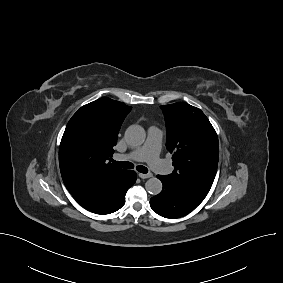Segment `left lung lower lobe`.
<instances>
[{
	"instance_id": "1",
	"label": "left lung lower lobe",
	"mask_w": 283,
	"mask_h": 283,
	"mask_svg": "<svg viewBox=\"0 0 283 283\" xmlns=\"http://www.w3.org/2000/svg\"><path fill=\"white\" fill-rule=\"evenodd\" d=\"M163 190L150 200L154 212L165 218H179L194 210L200 203L167 176L158 175Z\"/></svg>"
}]
</instances>
